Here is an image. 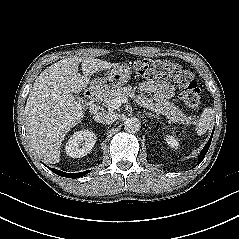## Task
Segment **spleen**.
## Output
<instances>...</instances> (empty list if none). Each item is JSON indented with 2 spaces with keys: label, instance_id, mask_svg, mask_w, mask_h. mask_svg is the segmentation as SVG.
Here are the masks:
<instances>
[{
  "label": "spleen",
  "instance_id": "3e777b00",
  "mask_svg": "<svg viewBox=\"0 0 239 239\" xmlns=\"http://www.w3.org/2000/svg\"><path fill=\"white\" fill-rule=\"evenodd\" d=\"M213 113H214V111L211 107L206 108L202 112L201 117H200L197 127H196L198 135H203L207 132V130L210 127V123L213 120Z\"/></svg>",
  "mask_w": 239,
  "mask_h": 239
}]
</instances>
